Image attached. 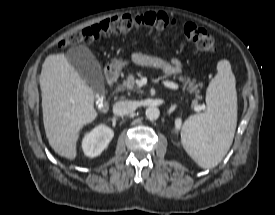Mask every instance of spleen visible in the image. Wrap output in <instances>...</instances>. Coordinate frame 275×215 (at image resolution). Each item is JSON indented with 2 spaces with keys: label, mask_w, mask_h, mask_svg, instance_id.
<instances>
[{
  "label": "spleen",
  "mask_w": 275,
  "mask_h": 215,
  "mask_svg": "<svg viewBox=\"0 0 275 215\" xmlns=\"http://www.w3.org/2000/svg\"><path fill=\"white\" fill-rule=\"evenodd\" d=\"M217 69L207 88L206 112L190 116L181 132L186 152L204 169L215 167L226 155L237 124L235 76L228 60L219 61Z\"/></svg>",
  "instance_id": "1"
}]
</instances>
